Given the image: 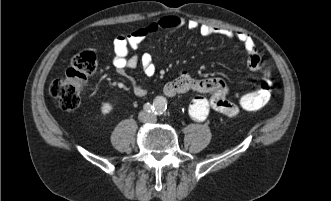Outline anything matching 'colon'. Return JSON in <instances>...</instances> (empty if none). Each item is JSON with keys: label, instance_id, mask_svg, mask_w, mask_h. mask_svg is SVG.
Returning <instances> with one entry per match:
<instances>
[{"label": "colon", "instance_id": "obj_1", "mask_svg": "<svg viewBox=\"0 0 331 201\" xmlns=\"http://www.w3.org/2000/svg\"><path fill=\"white\" fill-rule=\"evenodd\" d=\"M96 68L95 53L90 50L83 51L72 59L67 71L51 83L49 92L58 100L63 110H74L80 105L88 79L95 73ZM272 84V71L266 67L262 71L258 89L239 98L237 103L240 108L246 111H256L263 108L270 100Z\"/></svg>", "mask_w": 331, "mask_h": 201}]
</instances>
